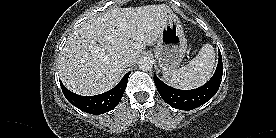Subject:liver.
<instances>
[{
    "instance_id": "obj_1",
    "label": "liver",
    "mask_w": 276,
    "mask_h": 138,
    "mask_svg": "<svg viewBox=\"0 0 276 138\" xmlns=\"http://www.w3.org/2000/svg\"><path fill=\"white\" fill-rule=\"evenodd\" d=\"M171 8L165 4L113 8L83 22L68 37L59 75L72 92L91 96L113 88L124 68L121 58L138 55L157 41Z\"/></svg>"
}]
</instances>
